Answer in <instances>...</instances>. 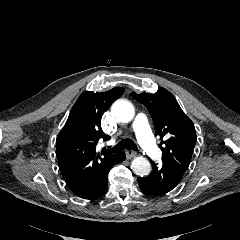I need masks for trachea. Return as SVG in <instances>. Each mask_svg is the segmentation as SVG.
Masks as SVG:
<instances>
[{"mask_svg":"<svg viewBox=\"0 0 240 240\" xmlns=\"http://www.w3.org/2000/svg\"><path fill=\"white\" fill-rule=\"evenodd\" d=\"M125 148L127 149H137L136 144L131 141V140H122L121 142H119L116 146H114L111 149H103L102 152L106 155L115 153V152H119L121 150H124Z\"/></svg>","mask_w":240,"mask_h":240,"instance_id":"3493384b","label":"trachea"}]
</instances>
